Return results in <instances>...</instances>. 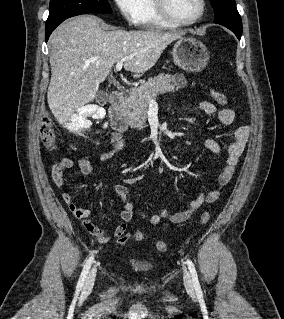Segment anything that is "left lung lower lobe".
Instances as JSON below:
<instances>
[{
	"mask_svg": "<svg viewBox=\"0 0 284 319\" xmlns=\"http://www.w3.org/2000/svg\"><path fill=\"white\" fill-rule=\"evenodd\" d=\"M218 24L230 29L237 36V38L240 40L241 34H242V27H238V26L226 24V23H218Z\"/></svg>",
	"mask_w": 284,
	"mask_h": 319,
	"instance_id": "1",
	"label": "left lung lower lobe"
}]
</instances>
